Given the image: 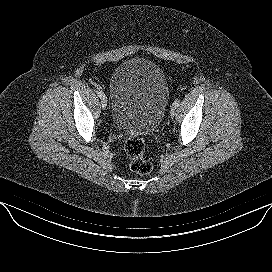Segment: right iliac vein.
I'll return each mask as SVG.
<instances>
[{
    "mask_svg": "<svg viewBox=\"0 0 272 272\" xmlns=\"http://www.w3.org/2000/svg\"><path fill=\"white\" fill-rule=\"evenodd\" d=\"M101 106L103 109H106L107 107V99L105 96L101 98Z\"/></svg>",
    "mask_w": 272,
    "mask_h": 272,
    "instance_id": "1",
    "label": "right iliac vein"
}]
</instances>
